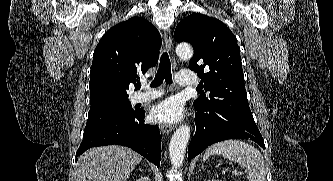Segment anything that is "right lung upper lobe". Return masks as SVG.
Instances as JSON below:
<instances>
[{"label": "right lung upper lobe", "mask_w": 333, "mask_h": 181, "mask_svg": "<svg viewBox=\"0 0 333 181\" xmlns=\"http://www.w3.org/2000/svg\"><path fill=\"white\" fill-rule=\"evenodd\" d=\"M161 36L146 19L133 17L99 41L90 71V110L128 100L126 90L158 61Z\"/></svg>", "instance_id": "right-lung-upper-lobe-1"}]
</instances>
